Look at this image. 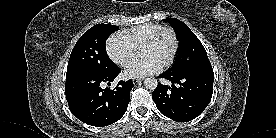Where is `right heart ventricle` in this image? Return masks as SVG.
<instances>
[{"label": "right heart ventricle", "mask_w": 276, "mask_h": 138, "mask_svg": "<svg viewBox=\"0 0 276 138\" xmlns=\"http://www.w3.org/2000/svg\"><path fill=\"white\" fill-rule=\"evenodd\" d=\"M162 27L163 26L160 24H143L122 31L120 35L128 40L135 47V49H139L155 32Z\"/></svg>", "instance_id": "1"}]
</instances>
